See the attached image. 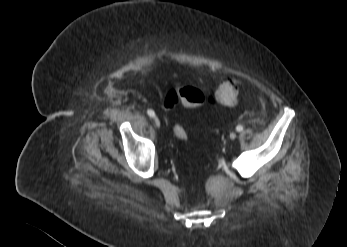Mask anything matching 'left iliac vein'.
Instances as JSON below:
<instances>
[{
	"instance_id": "left-iliac-vein-1",
	"label": "left iliac vein",
	"mask_w": 347,
	"mask_h": 247,
	"mask_svg": "<svg viewBox=\"0 0 347 247\" xmlns=\"http://www.w3.org/2000/svg\"><path fill=\"white\" fill-rule=\"evenodd\" d=\"M236 137H237V135H236L235 132H232V133L230 134V139L234 140Z\"/></svg>"
}]
</instances>
